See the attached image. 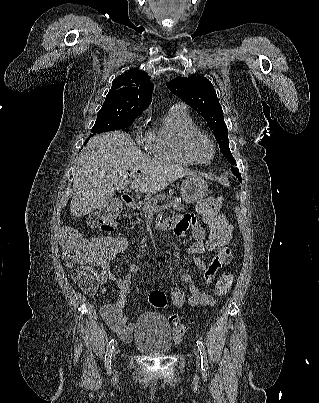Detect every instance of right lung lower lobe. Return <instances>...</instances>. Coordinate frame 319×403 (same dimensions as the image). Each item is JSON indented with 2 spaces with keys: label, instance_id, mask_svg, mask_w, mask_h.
Listing matches in <instances>:
<instances>
[{
  "label": "right lung lower lobe",
  "instance_id": "1",
  "mask_svg": "<svg viewBox=\"0 0 319 403\" xmlns=\"http://www.w3.org/2000/svg\"><path fill=\"white\" fill-rule=\"evenodd\" d=\"M94 134H91L86 140H85V143L84 144H86L87 142H88V140L90 139V137H92Z\"/></svg>",
  "mask_w": 319,
  "mask_h": 403
}]
</instances>
